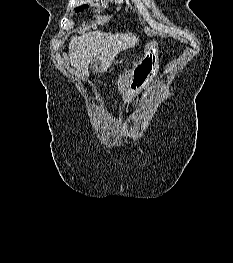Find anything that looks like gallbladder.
<instances>
[{"label": "gallbladder", "mask_w": 233, "mask_h": 263, "mask_svg": "<svg viewBox=\"0 0 233 263\" xmlns=\"http://www.w3.org/2000/svg\"><path fill=\"white\" fill-rule=\"evenodd\" d=\"M90 69L93 71H99L100 70V62L98 59H94L91 63H90Z\"/></svg>", "instance_id": "1"}]
</instances>
